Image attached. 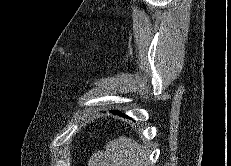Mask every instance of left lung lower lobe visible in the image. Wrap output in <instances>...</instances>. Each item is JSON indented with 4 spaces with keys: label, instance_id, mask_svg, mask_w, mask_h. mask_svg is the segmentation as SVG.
Instances as JSON below:
<instances>
[{
    "label": "left lung lower lobe",
    "instance_id": "obj_1",
    "mask_svg": "<svg viewBox=\"0 0 231 166\" xmlns=\"http://www.w3.org/2000/svg\"><path fill=\"white\" fill-rule=\"evenodd\" d=\"M114 113H115V114H118V115H121V116H125V117H127L126 115H124V114L120 113L119 111H115Z\"/></svg>",
    "mask_w": 231,
    "mask_h": 166
}]
</instances>
